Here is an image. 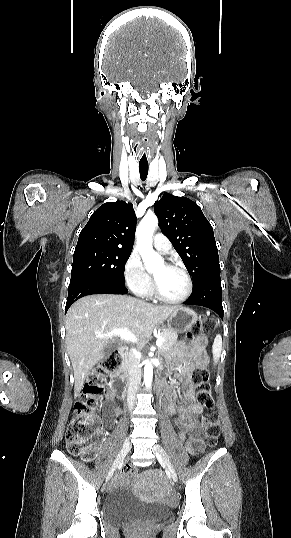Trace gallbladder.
<instances>
[{
	"instance_id": "bac80fb5",
	"label": "gallbladder",
	"mask_w": 291,
	"mask_h": 538,
	"mask_svg": "<svg viewBox=\"0 0 291 538\" xmlns=\"http://www.w3.org/2000/svg\"><path fill=\"white\" fill-rule=\"evenodd\" d=\"M117 348V343H110L105 351H104V357H107L113 350Z\"/></svg>"
}]
</instances>
